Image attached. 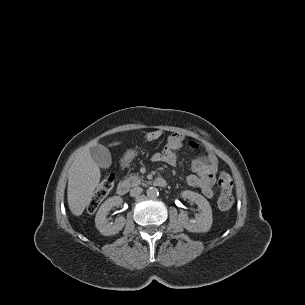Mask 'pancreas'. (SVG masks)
I'll list each match as a JSON object with an SVG mask.
<instances>
[{
    "label": "pancreas",
    "mask_w": 305,
    "mask_h": 305,
    "mask_svg": "<svg viewBox=\"0 0 305 305\" xmlns=\"http://www.w3.org/2000/svg\"><path fill=\"white\" fill-rule=\"evenodd\" d=\"M130 186H138L142 183V178L138 174H133L125 180Z\"/></svg>",
    "instance_id": "1"
}]
</instances>
